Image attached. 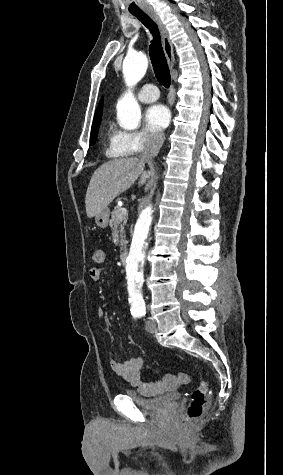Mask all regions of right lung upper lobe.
Instances as JSON below:
<instances>
[{"label":"right lung upper lobe","instance_id":"right-lung-upper-lobe-1","mask_svg":"<svg viewBox=\"0 0 283 475\" xmlns=\"http://www.w3.org/2000/svg\"><path fill=\"white\" fill-rule=\"evenodd\" d=\"M101 105H103V98H101L98 106H101Z\"/></svg>","mask_w":283,"mask_h":475}]
</instances>
